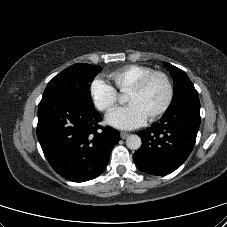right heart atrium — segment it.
Here are the masks:
<instances>
[{
  "label": "right heart atrium",
  "mask_w": 227,
  "mask_h": 227,
  "mask_svg": "<svg viewBox=\"0 0 227 227\" xmlns=\"http://www.w3.org/2000/svg\"><path fill=\"white\" fill-rule=\"evenodd\" d=\"M89 92L94 105L101 111L110 110L118 101L117 90L101 77L91 82Z\"/></svg>",
  "instance_id": "d8ad5b80"
}]
</instances>
